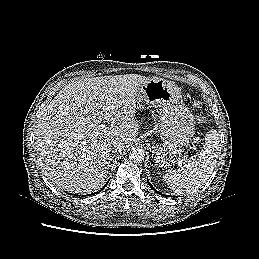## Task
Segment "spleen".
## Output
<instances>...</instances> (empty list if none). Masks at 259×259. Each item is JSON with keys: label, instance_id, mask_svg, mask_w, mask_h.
Returning a JSON list of instances; mask_svg holds the SVG:
<instances>
[{"label": "spleen", "instance_id": "1", "mask_svg": "<svg viewBox=\"0 0 259 259\" xmlns=\"http://www.w3.org/2000/svg\"><path fill=\"white\" fill-rule=\"evenodd\" d=\"M219 142L220 135L215 129L207 132L200 153L187 159L181 170H168L163 176L168 187L177 194H191L202 188L214 170Z\"/></svg>", "mask_w": 259, "mask_h": 259}]
</instances>
